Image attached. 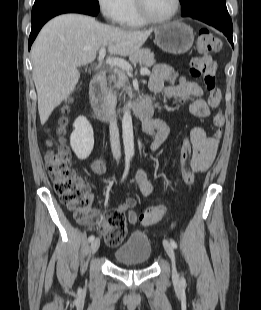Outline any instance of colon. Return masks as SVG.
Segmentation results:
<instances>
[{"label":"colon","instance_id":"obj_1","mask_svg":"<svg viewBox=\"0 0 261 310\" xmlns=\"http://www.w3.org/2000/svg\"><path fill=\"white\" fill-rule=\"evenodd\" d=\"M196 49L200 55L191 59L190 73L194 77L203 78L204 85L209 92L208 105L217 109L221 103L222 94L216 85V62L210 53L218 52L221 49V41L210 30L203 28L198 31ZM70 103L71 100L66 101V105L62 108V116L55 128L59 137L64 133L67 123L66 113ZM224 122L223 113L217 110L213 116V123L216 127L215 138L219 139L222 136ZM48 145L51 149L46 154V165L60 201L74 213L80 223L96 225L97 221L90 211L89 188L72 166L68 147L60 139L57 143L50 140ZM54 145L55 147H53ZM191 155V144L184 141L181 147V163L184 181L187 185H191L194 181L193 172L189 168ZM166 211L167 208L163 205L150 207L140 215L139 220L145 226L152 225L159 221ZM99 229L109 246H118L127 234L125 214L115 210L105 213L99 223Z\"/></svg>","mask_w":261,"mask_h":310}]
</instances>
